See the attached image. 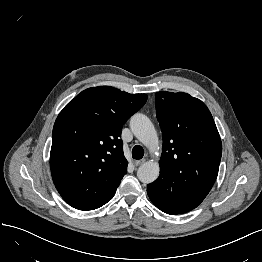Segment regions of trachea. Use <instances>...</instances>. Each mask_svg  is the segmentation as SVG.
Listing matches in <instances>:
<instances>
[{"mask_svg":"<svg viewBox=\"0 0 262 262\" xmlns=\"http://www.w3.org/2000/svg\"><path fill=\"white\" fill-rule=\"evenodd\" d=\"M144 156V150L140 145H136L133 147L132 149V158L134 159H142V157Z\"/></svg>","mask_w":262,"mask_h":262,"instance_id":"3493384b","label":"trachea"}]
</instances>
